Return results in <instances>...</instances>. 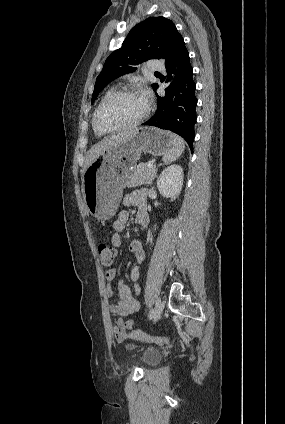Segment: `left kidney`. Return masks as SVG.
<instances>
[{"mask_svg":"<svg viewBox=\"0 0 285 424\" xmlns=\"http://www.w3.org/2000/svg\"><path fill=\"white\" fill-rule=\"evenodd\" d=\"M183 169L180 165L165 168L157 179V188L163 197L175 200L183 186Z\"/></svg>","mask_w":285,"mask_h":424,"instance_id":"left-kidney-1","label":"left kidney"}]
</instances>
